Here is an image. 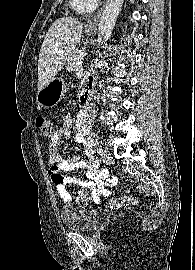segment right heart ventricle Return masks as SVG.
<instances>
[{
    "mask_svg": "<svg viewBox=\"0 0 195 270\" xmlns=\"http://www.w3.org/2000/svg\"><path fill=\"white\" fill-rule=\"evenodd\" d=\"M71 8L77 13H89L95 6L94 0H69Z\"/></svg>",
    "mask_w": 195,
    "mask_h": 270,
    "instance_id": "1",
    "label": "right heart ventricle"
}]
</instances>
